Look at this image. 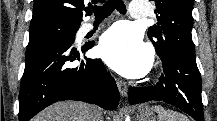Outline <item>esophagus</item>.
I'll list each match as a JSON object with an SVG mask.
<instances>
[{
	"mask_svg": "<svg viewBox=\"0 0 217 121\" xmlns=\"http://www.w3.org/2000/svg\"><path fill=\"white\" fill-rule=\"evenodd\" d=\"M117 86H118V89H119L121 96L126 97L128 94L127 84L124 81L118 79L117 80Z\"/></svg>",
	"mask_w": 217,
	"mask_h": 121,
	"instance_id": "34e87169",
	"label": "esophagus"
}]
</instances>
